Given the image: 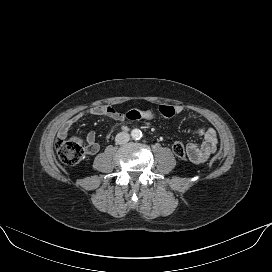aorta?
I'll use <instances>...</instances> for the list:
<instances>
[{
    "mask_svg": "<svg viewBox=\"0 0 272 272\" xmlns=\"http://www.w3.org/2000/svg\"><path fill=\"white\" fill-rule=\"evenodd\" d=\"M131 137H132L133 139H136V140L140 139V138L142 137V132H141V130H140V129H137V128L133 129V130L131 131Z\"/></svg>",
    "mask_w": 272,
    "mask_h": 272,
    "instance_id": "aorta-1",
    "label": "aorta"
}]
</instances>
